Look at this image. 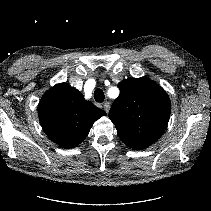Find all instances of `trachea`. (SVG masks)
Returning a JSON list of instances; mask_svg holds the SVG:
<instances>
[{
  "label": "trachea",
  "instance_id": "trachea-1",
  "mask_svg": "<svg viewBox=\"0 0 211 211\" xmlns=\"http://www.w3.org/2000/svg\"><path fill=\"white\" fill-rule=\"evenodd\" d=\"M94 99L96 102L102 103L105 99L104 92L101 89H96L94 92Z\"/></svg>",
  "mask_w": 211,
  "mask_h": 211
}]
</instances>
